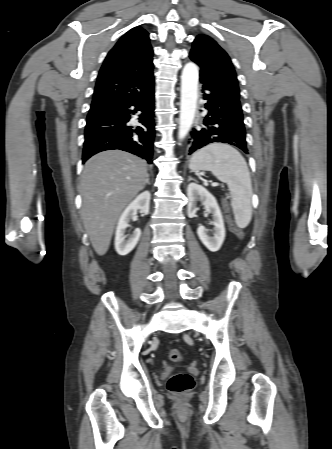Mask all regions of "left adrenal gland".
<instances>
[{
  "label": "left adrenal gland",
  "instance_id": "a2214340",
  "mask_svg": "<svg viewBox=\"0 0 332 449\" xmlns=\"http://www.w3.org/2000/svg\"><path fill=\"white\" fill-rule=\"evenodd\" d=\"M191 180H193V178L191 176H189L188 181H191Z\"/></svg>",
  "mask_w": 332,
  "mask_h": 449
}]
</instances>
